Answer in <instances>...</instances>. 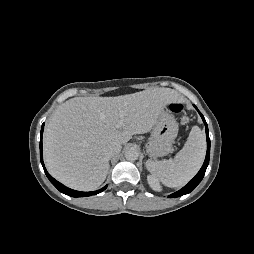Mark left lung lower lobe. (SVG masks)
Segmentation results:
<instances>
[{
  "label": "left lung lower lobe",
  "mask_w": 254,
  "mask_h": 254,
  "mask_svg": "<svg viewBox=\"0 0 254 254\" xmlns=\"http://www.w3.org/2000/svg\"><path fill=\"white\" fill-rule=\"evenodd\" d=\"M194 107L196 108V110L199 112L204 124H205V130H206V138H207V153H206V158L204 161L203 166L201 167L200 171L197 173V175L186 185L184 186L182 189H180L179 191L173 193L170 195V198L173 197H180L182 195H186L188 193H190L191 191H193L195 189V187L201 182V180L203 179V176L205 174V171L207 169V166L209 164V158H210V138H209V131H208V126L207 123L205 121L204 116L201 114V112L197 109V107L194 105Z\"/></svg>",
  "instance_id": "obj_1"
}]
</instances>
